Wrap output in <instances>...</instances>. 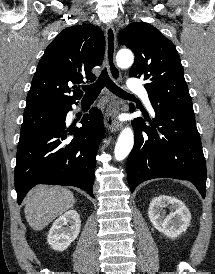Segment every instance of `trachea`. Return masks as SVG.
Returning <instances> with one entry per match:
<instances>
[{
	"instance_id": "obj_1",
	"label": "trachea",
	"mask_w": 215,
	"mask_h": 274,
	"mask_svg": "<svg viewBox=\"0 0 215 274\" xmlns=\"http://www.w3.org/2000/svg\"><path fill=\"white\" fill-rule=\"evenodd\" d=\"M106 86L110 91L120 97H133V95L127 93L120 87H118L109 77L107 70L104 69L98 80L91 84L83 86V90L86 92L85 97L94 98L97 97L101 89Z\"/></svg>"
}]
</instances>
